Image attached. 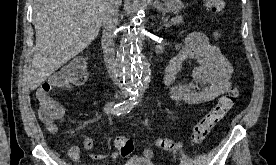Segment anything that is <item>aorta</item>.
I'll use <instances>...</instances> for the list:
<instances>
[{
  "instance_id": "762f6f07",
  "label": "aorta",
  "mask_w": 276,
  "mask_h": 165,
  "mask_svg": "<svg viewBox=\"0 0 276 165\" xmlns=\"http://www.w3.org/2000/svg\"><path fill=\"white\" fill-rule=\"evenodd\" d=\"M149 71V64L141 53L140 35L134 22L126 28L117 57L118 78L132 99L144 90Z\"/></svg>"
}]
</instances>
